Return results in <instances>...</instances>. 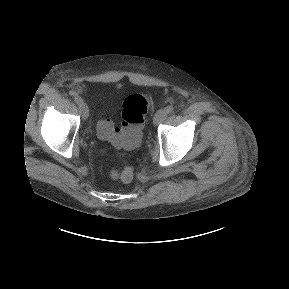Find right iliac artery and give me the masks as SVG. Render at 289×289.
<instances>
[{
  "instance_id": "1",
  "label": "right iliac artery",
  "mask_w": 289,
  "mask_h": 289,
  "mask_svg": "<svg viewBox=\"0 0 289 289\" xmlns=\"http://www.w3.org/2000/svg\"><path fill=\"white\" fill-rule=\"evenodd\" d=\"M74 95V93H72ZM74 101L79 105L83 102L82 98L74 95Z\"/></svg>"
}]
</instances>
